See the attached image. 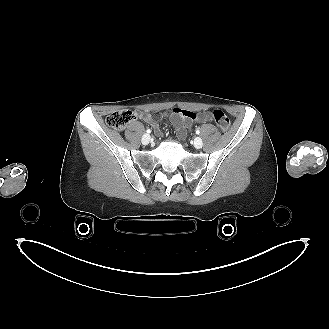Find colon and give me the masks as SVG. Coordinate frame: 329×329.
Here are the masks:
<instances>
[{
  "instance_id": "colon-1",
  "label": "colon",
  "mask_w": 329,
  "mask_h": 329,
  "mask_svg": "<svg viewBox=\"0 0 329 329\" xmlns=\"http://www.w3.org/2000/svg\"><path fill=\"white\" fill-rule=\"evenodd\" d=\"M137 112L124 109L115 111L107 115L106 124L112 129L122 130L137 117ZM212 117L222 132H227L230 128V120L227 115L219 109L212 112Z\"/></svg>"
}]
</instances>
